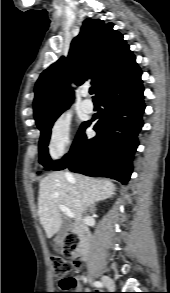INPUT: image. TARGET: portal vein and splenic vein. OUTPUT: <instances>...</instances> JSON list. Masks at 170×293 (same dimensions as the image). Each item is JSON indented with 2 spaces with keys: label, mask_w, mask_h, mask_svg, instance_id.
I'll list each match as a JSON object with an SVG mask.
<instances>
[{
  "label": "portal vein and splenic vein",
  "mask_w": 170,
  "mask_h": 293,
  "mask_svg": "<svg viewBox=\"0 0 170 293\" xmlns=\"http://www.w3.org/2000/svg\"><path fill=\"white\" fill-rule=\"evenodd\" d=\"M59 209L67 216L70 218H73L75 215L73 212H71L70 209H68L67 207H65L64 205H59Z\"/></svg>",
  "instance_id": "portal-vein-and-splenic-vein-1"
}]
</instances>
